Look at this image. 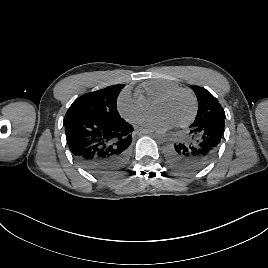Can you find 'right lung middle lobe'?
<instances>
[{"instance_id": "1", "label": "right lung middle lobe", "mask_w": 268, "mask_h": 268, "mask_svg": "<svg viewBox=\"0 0 268 268\" xmlns=\"http://www.w3.org/2000/svg\"><path fill=\"white\" fill-rule=\"evenodd\" d=\"M125 85L119 84L87 93L77 98L69 107L63 123L78 116H89L105 120L120 118L117 98Z\"/></svg>"}]
</instances>
